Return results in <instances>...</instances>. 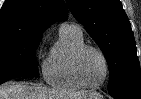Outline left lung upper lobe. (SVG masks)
<instances>
[{"instance_id": "obj_1", "label": "left lung upper lobe", "mask_w": 141, "mask_h": 99, "mask_svg": "<svg viewBox=\"0 0 141 99\" xmlns=\"http://www.w3.org/2000/svg\"><path fill=\"white\" fill-rule=\"evenodd\" d=\"M69 9L107 60L108 91L141 90V72L131 24L119 0H67Z\"/></svg>"}]
</instances>
